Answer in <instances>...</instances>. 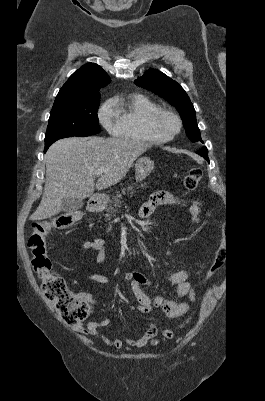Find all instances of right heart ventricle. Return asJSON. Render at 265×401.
<instances>
[{
	"instance_id": "1",
	"label": "right heart ventricle",
	"mask_w": 265,
	"mask_h": 401,
	"mask_svg": "<svg viewBox=\"0 0 265 401\" xmlns=\"http://www.w3.org/2000/svg\"><path fill=\"white\" fill-rule=\"evenodd\" d=\"M116 116L115 137L155 142L147 127L148 116L159 106L149 97L137 93H118L111 100Z\"/></svg>"
}]
</instances>
